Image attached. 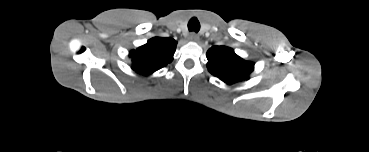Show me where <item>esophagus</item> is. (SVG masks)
<instances>
[{
    "label": "esophagus",
    "mask_w": 369,
    "mask_h": 152,
    "mask_svg": "<svg viewBox=\"0 0 369 152\" xmlns=\"http://www.w3.org/2000/svg\"><path fill=\"white\" fill-rule=\"evenodd\" d=\"M189 40L197 42V41L199 40V36H198V34H196V33L192 32V33L189 35Z\"/></svg>",
    "instance_id": "esophagus-1"
}]
</instances>
